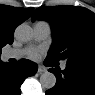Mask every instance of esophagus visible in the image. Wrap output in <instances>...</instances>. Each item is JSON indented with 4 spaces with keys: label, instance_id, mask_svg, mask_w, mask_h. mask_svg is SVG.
<instances>
[{
    "label": "esophagus",
    "instance_id": "34e87169",
    "mask_svg": "<svg viewBox=\"0 0 95 95\" xmlns=\"http://www.w3.org/2000/svg\"><path fill=\"white\" fill-rule=\"evenodd\" d=\"M43 72H46V68L44 66L39 65L38 66V73L42 74Z\"/></svg>",
    "mask_w": 95,
    "mask_h": 95
}]
</instances>
